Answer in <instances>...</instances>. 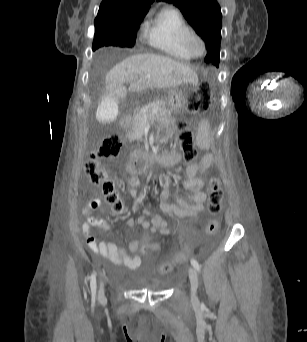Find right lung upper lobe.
Returning a JSON list of instances; mask_svg holds the SVG:
<instances>
[{"label":"right lung upper lobe","mask_w":307,"mask_h":342,"mask_svg":"<svg viewBox=\"0 0 307 342\" xmlns=\"http://www.w3.org/2000/svg\"><path fill=\"white\" fill-rule=\"evenodd\" d=\"M154 0H104L94 21L95 30L136 33Z\"/></svg>","instance_id":"right-lung-upper-lobe-1"}]
</instances>
